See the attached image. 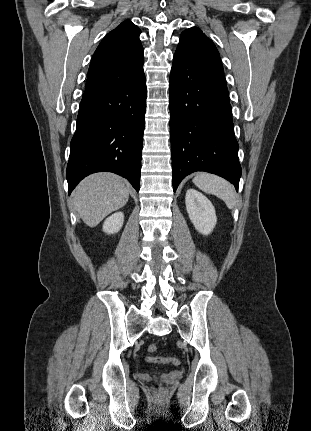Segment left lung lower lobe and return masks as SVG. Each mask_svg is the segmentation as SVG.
<instances>
[{
	"label": "left lung lower lobe",
	"mask_w": 311,
	"mask_h": 431,
	"mask_svg": "<svg viewBox=\"0 0 311 431\" xmlns=\"http://www.w3.org/2000/svg\"><path fill=\"white\" fill-rule=\"evenodd\" d=\"M173 189L206 171L238 191L241 166L223 67L176 51L170 74Z\"/></svg>",
	"instance_id": "0a47b994"
}]
</instances>
